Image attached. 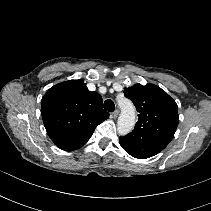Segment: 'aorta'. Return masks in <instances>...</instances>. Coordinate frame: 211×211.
Returning a JSON list of instances; mask_svg holds the SVG:
<instances>
[{
  "mask_svg": "<svg viewBox=\"0 0 211 211\" xmlns=\"http://www.w3.org/2000/svg\"><path fill=\"white\" fill-rule=\"evenodd\" d=\"M118 105L121 109V113L117 122V130L119 135H126L133 129L136 123L135 107L132 102L126 98L118 100Z\"/></svg>",
  "mask_w": 211,
  "mask_h": 211,
  "instance_id": "obj_1",
  "label": "aorta"
}]
</instances>
